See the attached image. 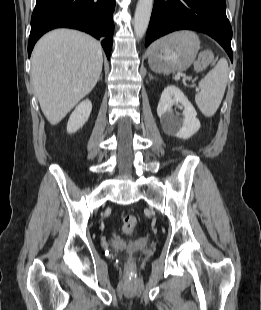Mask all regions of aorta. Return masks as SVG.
<instances>
[{"mask_svg": "<svg viewBox=\"0 0 261 310\" xmlns=\"http://www.w3.org/2000/svg\"><path fill=\"white\" fill-rule=\"evenodd\" d=\"M154 0H138L134 15V32L141 39L148 28Z\"/></svg>", "mask_w": 261, "mask_h": 310, "instance_id": "1", "label": "aorta"}]
</instances>
